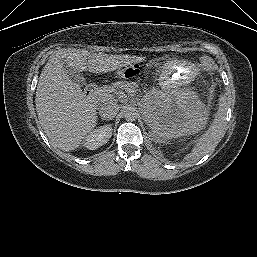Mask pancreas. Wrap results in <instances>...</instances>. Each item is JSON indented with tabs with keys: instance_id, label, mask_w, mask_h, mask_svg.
Here are the masks:
<instances>
[{
	"instance_id": "1",
	"label": "pancreas",
	"mask_w": 257,
	"mask_h": 257,
	"mask_svg": "<svg viewBox=\"0 0 257 257\" xmlns=\"http://www.w3.org/2000/svg\"><path fill=\"white\" fill-rule=\"evenodd\" d=\"M118 89H131L135 91L136 86L134 83L127 81H120L111 85H105L98 90V100L102 102L109 100V96Z\"/></svg>"
}]
</instances>
